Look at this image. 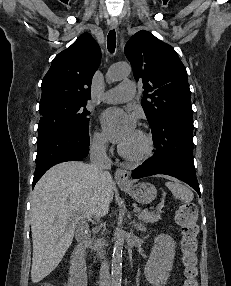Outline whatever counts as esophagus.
I'll return each instance as SVG.
<instances>
[{
    "label": "esophagus",
    "mask_w": 231,
    "mask_h": 286,
    "mask_svg": "<svg viewBox=\"0 0 231 286\" xmlns=\"http://www.w3.org/2000/svg\"><path fill=\"white\" fill-rule=\"evenodd\" d=\"M108 25L111 29L118 27V21L115 17L108 20ZM115 180L119 186H127L130 184L129 172L125 169L118 168L115 172Z\"/></svg>",
    "instance_id": "esophagus-1"
}]
</instances>
